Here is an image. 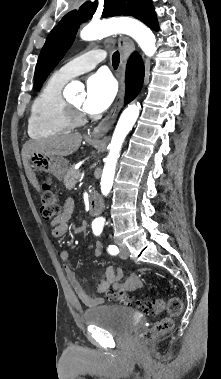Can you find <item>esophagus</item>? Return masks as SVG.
<instances>
[{"mask_svg":"<svg viewBox=\"0 0 221 379\" xmlns=\"http://www.w3.org/2000/svg\"><path fill=\"white\" fill-rule=\"evenodd\" d=\"M132 46V40L129 37L121 35L118 38V49L120 53V70L119 80L120 89L117 94L116 100L111 108L110 112L99 122V124L91 132V136L100 137L105 135L113 126L116 118L123 106L124 94H125V66L130 47Z\"/></svg>","mask_w":221,"mask_h":379,"instance_id":"obj_1","label":"esophagus"}]
</instances>
